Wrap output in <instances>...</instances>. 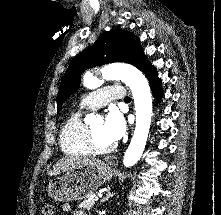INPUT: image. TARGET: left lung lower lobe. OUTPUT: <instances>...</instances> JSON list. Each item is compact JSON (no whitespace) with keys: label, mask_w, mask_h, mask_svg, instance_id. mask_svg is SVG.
<instances>
[{"label":"left lung lower lobe","mask_w":221,"mask_h":215,"mask_svg":"<svg viewBox=\"0 0 221 215\" xmlns=\"http://www.w3.org/2000/svg\"><path fill=\"white\" fill-rule=\"evenodd\" d=\"M143 73L146 75V77L149 80L151 89L153 91V94L157 101L162 97L163 91L161 89V79L158 78L156 68L152 65H150L148 68H146Z\"/></svg>","instance_id":"1"}]
</instances>
